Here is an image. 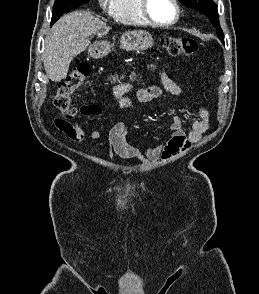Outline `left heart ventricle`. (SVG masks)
<instances>
[{
    "label": "left heart ventricle",
    "instance_id": "1",
    "mask_svg": "<svg viewBox=\"0 0 259 294\" xmlns=\"http://www.w3.org/2000/svg\"><path fill=\"white\" fill-rule=\"evenodd\" d=\"M149 12L158 22L168 23L175 17V7L171 0H149Z\"/></svg>",
    "mask_w": 259,
    "mask_h": 294
}]
</instances>
